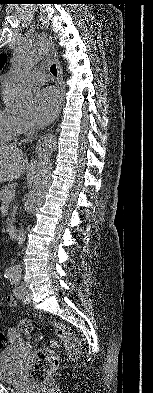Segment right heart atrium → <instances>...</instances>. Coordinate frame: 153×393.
<instances>
[{
	"mask_svg": "<svg viewBox=\"0 0 153 393\" xmlns=\"http://www.w3.org/2000/svg\"><path fill=\"white\" fill-rule=\"evenodd\" d=\"M20 135H29L34 131V125L27 119L19 118Z\"/></svg>",
	"mask_w": 153,
	"mask_h": 393,
	"instance_id": "right-heart-atrium-1",
	"label": "right heart atrium"
}]
</instances>
